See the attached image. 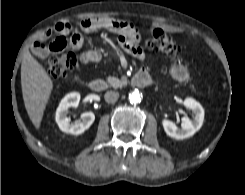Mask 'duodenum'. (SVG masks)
Segmentation results:
<instances>
[{
    "label": "duodenum",
    "instance_id": "duodenum-1",
    "mask_svg": "<svg viewBox=\"0 0 245 195\" xmlns=\"http://www.w3.org/2000/svg\"><path fill=\"white\" fill-rule=\"evenodd\" d=\"M131 84L138 88H146L152 84V79L146 71H139L132 77ZM88 87L93 92H101L105 90L106 83L101 79H93L89 81Z\"/></svg>",
    "mask_w": 245,
    "mask_h": 195
}]
</instances>
